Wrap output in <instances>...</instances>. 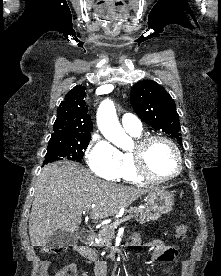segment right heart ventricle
Masks as SVG:
<instances>
[{
  "label": "right heart ventricle",
  "instance_id": "right-heart-ventricle-1",
  "mask_svg": "<svg viewBox=\"0 0 221 276\" xmlns=\"http://www.w3.org/2000/svg\"><path fill=\"white\" fill-rule=\"evenodd\" d=\"M130 134L134 137L141 136V133ZM118 179H122L130 183H139L143 180L136 173L134 162L130 152L121 153V169Z\"/></svg>",
  "mask_w": 221,
  "mask_h": 276
}]
</instances>
